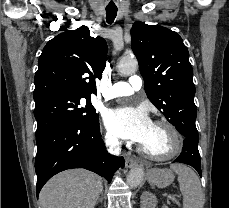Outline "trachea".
<instances>
[{
	"label": "trachea",
	"instance_id": "3493384b",
	"mask_svg": "<svg viewBox=\"0 0 229 208\" xmlns=\"http://www.w3.org/2000/svg\"><path fill=\"white\" fill-rule=\"evenodd\" d=\"M117 7H106V21L111 24L116 18L117 15Z\"/></svg>",
	"mask_w": 229,
	"mask_h": 208
}]
</instances>
